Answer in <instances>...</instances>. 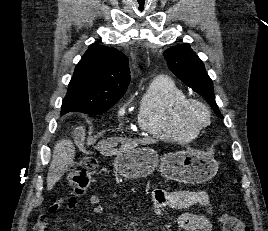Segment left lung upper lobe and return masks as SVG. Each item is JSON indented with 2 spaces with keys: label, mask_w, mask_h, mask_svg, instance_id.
Returning <instances> with one entry per match:
<instances>
[{
  "label": "left lung upper lobe",
  "mask_w": 268,
  "mask_h": 231,
  "mask_svg": "<svg viewBox=\"0 0 268 231\" xmlns=\"http://www.w3.org/2000/svg\"><path fill=\"white\" fill-rule=\"evenodd\" d=\"M164 57L176 77L192 90L204 96L215 114L223 118L215 102L212 80L208 76L203 62L192 51L189 44H179L167 49Z\"/></svg>",
  "instance_id": "obj_1"
}]
</instances>
